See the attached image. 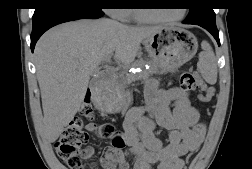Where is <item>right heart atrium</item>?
Here are the masks:
<instances>
[{"instance_id":"obj_1","label":"right heart atrium","mask_w":252,"mask_h":169,"mask_svg":"<svg viewBox=\"0 0 252 169\" xmlns=\"http://www.w3.org/2000/svg\"><path fill=\"white\" fill-rule=\"evenodd\" d=\"M127 9L116 8V9H107V13L116 20L124 21L127 19Z\"/></svg>"}]
</instances>
